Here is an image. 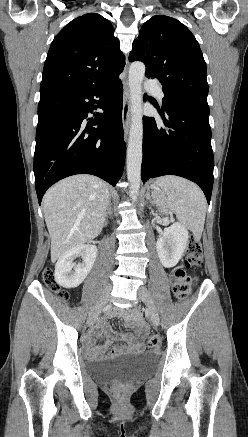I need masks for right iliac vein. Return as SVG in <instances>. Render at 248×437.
<instances>
[{
  "label": "right iliac vein",
  "instance_id": "obj_1",
  "mask_svg": "<svg viewBox=\"0 0 248 437\" xmlns=\"http://www.w3.org/2000/svg\"><path fill=\"white\" fill-rule=\"evenodd\" d=\"M112 286L107 285L106 288L103 290L100 298L98 299L96 305L92 308V310L89 313L88 316V324L92 325L94 321L96 320L97 316L99 315L101 309L107 304L110 292H111Z\"/></svg>",
  "mask_w": 248,
  "mask_h": 437
}]
</instances>
